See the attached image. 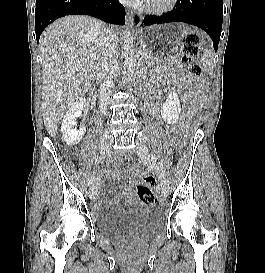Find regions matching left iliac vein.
<instances>
[{
	"label": "left iliac vein",
	"mask_w": 265,
	"mask_h": 273,
	"mask_svg": "<svg viewBox=\"0 0 265 273\" xmlns=\"http://www.w3.org/2000/svg\"><path fill=\"white\" fill-rule=\"evenodd\" d=\"M136 145H137V154L139 158L145 163H148V164L151 163L150 154L144 141L138 138L136 140ZM160 185H161L162 194L164 195V197H167L169 194V182L162 175H160Z\"/></svg>",
	"instance_id": "1"
}]
</instances>
